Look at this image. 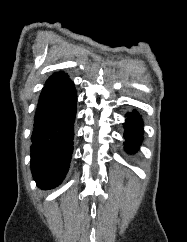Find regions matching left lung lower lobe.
I'll return each instance as SVG.
<instances>
[{"label": "left lung lower lobe", "instance_id": "1", "mask_svg": "<svg viewBox=\"0 0 187 242\" xmlns=\"http://www.w3.org/2000/svg\"><path fill=\"white\" fill-rule=\"evenodd\" d=\"M125 132V150L134 153L143 140V122L137 111L126 114V122L123 125Z\"/></svg>", "mask_w": 187, "mask_h": 242}]
</instances>
